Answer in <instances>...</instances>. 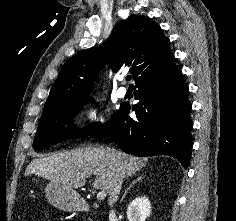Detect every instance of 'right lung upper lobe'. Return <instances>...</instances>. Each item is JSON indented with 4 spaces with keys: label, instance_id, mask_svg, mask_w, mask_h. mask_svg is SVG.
Returning <instances> with one entry per match:
<instances>
[{
    "label": "right lung upper lobe",
    "instance_id": "1",
    "mask_svg": "<svg viewBox=\"0 0 236 221\" xmlns=\"http://www.w3.org/2000/svg\"><path fill=\"white\" fill-rule=\"evenodd\" d=\"M173 54L169 39L149 18L131 15L119 22L101 46L71 57L51 88L44 111L89 95L93 81L105 62L117 72L123 65L131 67L135 83L166 64Z\"/></svg>",
    "mask_w": 236,
    "mask_h": 221
}]
</instances>
